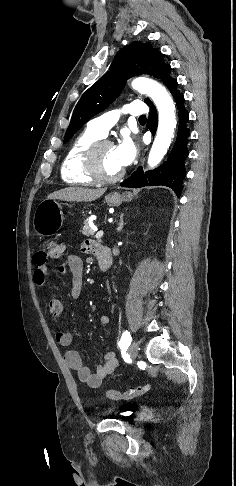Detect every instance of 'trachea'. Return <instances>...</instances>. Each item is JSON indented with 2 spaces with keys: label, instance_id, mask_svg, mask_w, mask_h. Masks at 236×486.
Masks as SVG:
<instances>
[{
  "label": "trachea",
  "instance_id": "1",
  "mask_svg": "<svg viewBox=\"0 0 236 486\" xmlns=\"http://www.w3.org/2000/svg\"><path fill=\"white\" fill-rule=\"evenodd\" d=\"M139 119H140V120H145V119H146V116H145V115L140 116V117H139Z\"/></svg>",
  "mask_w": 236,
  "mask_h": 486
}]
</instances>
